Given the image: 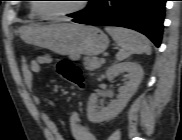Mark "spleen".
<instances>
[{
    "label": "spleen",
    "mask_w": 182,
    "mask_h": 140,
    "mask_svg": "<svg viewBox=\"0 0 182 140\" xmlns=\"http://www.w3.org/2000/svg\"><path fill=\"white\" fill-rule=\"evenodd\" d=\"M105 30L121 47L116 54V59L118 61L127 59L131 54H151V47L148 39L140 33L122 27H105Z\"/></svg>",
    "instance_id": "3e777b00"
}]
</instances>
